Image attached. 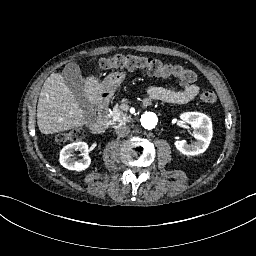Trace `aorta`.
<instances>
[{
	"mask_svg": "<svg viewBox=\"0 0 256 256\" xmlns=\"http://www.w3.org/2000/svg\"><path fill=\"white\" fill-rule=\"evenodd\" d=\"M141 124L145 128H152L156 124V117L152 113H145L141 117Z\"/></svg>",
	"mask_w": 256,
	"mask_h": 256,
	"instance_id": "762f6f07",
	"label": "aorta"
}]
</instances>
